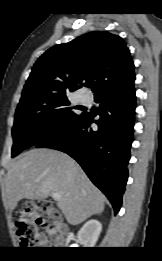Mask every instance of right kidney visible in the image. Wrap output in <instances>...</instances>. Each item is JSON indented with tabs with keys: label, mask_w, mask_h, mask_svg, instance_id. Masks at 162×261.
<instances>
[{
	"label": "right kidney",
	"mask_w": 162,
	"mask_h": 261,
	"mask_svg": "<svg viewBox=\"0 0 162 261\" xmlns=\"http://www.w3.org/2000/svg\"><path fill=\"white\" fill-rule=\"evenodd\" d=\"M102 230V224L95 219L86 222L77 234L79 242L86 248L95 246Z\"/></svg>",
	"instance_id": "ca27d5eb"
}]
</instances>
